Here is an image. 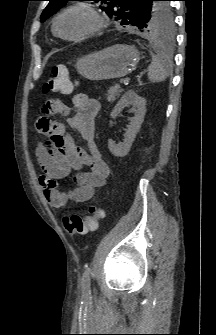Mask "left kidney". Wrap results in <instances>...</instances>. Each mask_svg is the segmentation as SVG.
Here are the masks:
<instances>
[{
    "label": "left kidney",
    "instance_id": "left-kidney-1",
    "mask_svg": "<svg viewBox=\"0 0 216 335\" xmlns=\"http://www.w3.org/2000/svg\"><path fill=\"white\" fill-rule=\"evenodd\" d=\"M132 105L136 108L135 116L130 118V123L124 134V140L120 144H115L112 139L108 140V148L110 152L116 157H124L130 151L132 143L138 133L141 124L144 121V116L146 113V100L133 90L127 91L121 99L118 101L114 109L112 110L110 117L112 119L116 118V116L127 106Z\"/></svg>",
    "mask_w": 216,
    "mask_h": 335
}]
</instances>
